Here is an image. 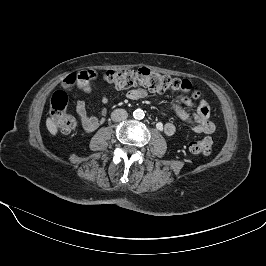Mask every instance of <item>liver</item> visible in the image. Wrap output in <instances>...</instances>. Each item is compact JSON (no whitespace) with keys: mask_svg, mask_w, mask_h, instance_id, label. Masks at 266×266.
I'll return each instance as SVG.
<instances>
[{"mask_svg":"<svg viewBox=\"0 0 266 266\" xmlns=\"http://www.w3.org/2000/svg\"><path fill=\"white\" fill-rule=\"evenodd\" d=\"M46 126L48 131L52 134V135H56L58 132L57 126L54 123V121L51 118H47L46 120Z\"/></svg>","mask_w":266,"mask_h":266,"instance_id":"1","label":"liver"}]
</instances>
